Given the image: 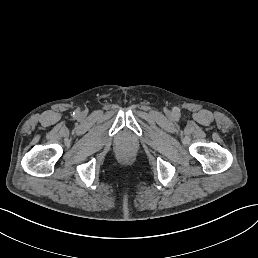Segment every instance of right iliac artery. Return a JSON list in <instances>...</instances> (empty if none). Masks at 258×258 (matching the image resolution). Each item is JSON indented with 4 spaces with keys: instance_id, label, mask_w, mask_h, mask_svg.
I'll list each match as a JSON object with an SVG mask.
<instances>
[{
    "instance_id": "82829eb1",
    "label": "right iliac artery",
    "mask_w": 258,
    "mask_h": 258,
    "mask_svg": "<svg viewBox=\"0 0 258 258\" xmlns=\"http://www.w3.org/2000/svg\"><path fill=\"white\" fill-rule=\"evenodd\" d=\"M80 114V109L77 108L74 112H73V115L74 116H78Z\"/></svg>"
}]
</instances>
